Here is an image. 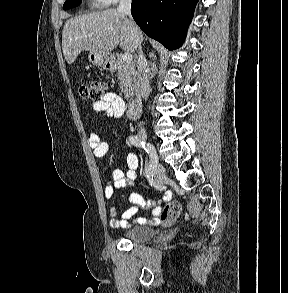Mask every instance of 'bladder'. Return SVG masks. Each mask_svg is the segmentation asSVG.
<instances>
[{
	"label": "bladder",
	"mask_w": 288,
	"mask_h": 293,
	"mask_svg": "<svg viewBox=\"0 0 288 293\" xmlns=\"http://www.w3.org/2000/svg\"><path fill=\"white\" fill-rule=\"evenodd\" d=\"M122 236L131 242L141 243L151 240L155 236V230L146 225H137L122 233Z\"/></svg>",
	"instance_id": "obj_1"
}]
</instances>
